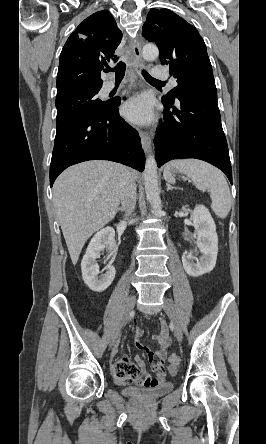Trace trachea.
I'll return each mask as SVG.
<instances>
[{
	"label": "trachea",
	"mask_w": 266,
	"mask_h": 444,
	"mask_svg": "<svg viewBox=\"0 0 266 444\" xmlns=\"http://www.w3.org/2000/svg\"><path fill=\"white\" fill-rule=\"evenodd\" d=\"M125 69H126V65L124 62L120 61L113 69L112 68H107V72L109 71H114L115 72V78L116 79H122L125 75ZM142 75L145 78L146 81L148 82H156V83H162L164 84V82L157 80L155 78H153L147 71L142 70Z\"/></svg>",
	"instance_id": "trachea-1"
}]
</instances>
